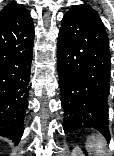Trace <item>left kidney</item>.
<instances>
[{"instance_id": "obj_1", "label": "left kidney", "mask_w": 114, "mask_h": 156, "mask_svg": "<svg viewBox=\"0 0 114 156\" xmlns=\"http://www.w3.org/2000/svg\"><path fill=\"white\" fill-rule=\"evenodd\" d=\"M72 156H84V154L82 153L81 149L76 146L72 151Z\"/></svg>"}]
</instances>
